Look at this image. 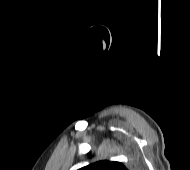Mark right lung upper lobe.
<instances>
[{
	"instance_id": "obj_1",
	"label": "right lung upper lobe",
	"mask_w": 190,
	"mask_h": 170,
	"mask_svg": "<svg viewBox=\"0 0 190 170\" xmlns=\"http://www.w3.org/2000/svg\"><path fill=\"white\" fill-rule=\"evenodd\" d=\"M79 170H127V168L120 162L115 161H98Z\"/></svg>"
}]
</instances>
